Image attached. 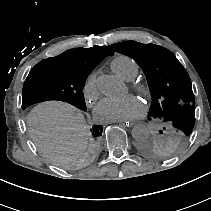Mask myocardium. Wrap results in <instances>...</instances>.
Returning <instances> with one entry per match:
<instances>
[{"mask_svg":"<svg viewBox=\"0 0 211 211\" xmlns=\"http://www.w3.org/2000/svg\"><path fill=\"white\" fill-rule=\"evenodd\" d=\"M131 90L135 93L141 95L146 101H149L151 98V90L147 83L145 82H134L131 85Z\"/></svg>","mask_w":211,"mask_h":211,"instance_id":"myocardium-1","label":"myocardium"}]
</instances>
